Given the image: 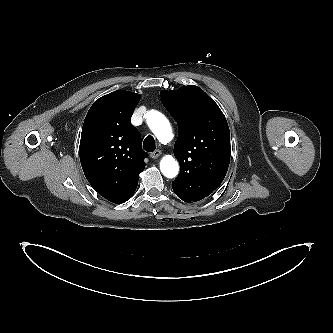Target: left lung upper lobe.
Returning <instances> with one entry per match:
<instances>
[{
  "label": "left lung upper lobe",
  "mask_w": 333,
  "mask_h": 333,
  "mask_svg": "<svg viewBox=\"0 0 333 333\" xmlns=\"http://www.w3.org/2000/svg\"><path fill=\"white\" fill-rule=\"evenodd\" d=\"M161 102L178 123L174 154L180 173L172 182L179 198L209 196L223 181L230 162V132L218 105L197 86L161 91Z\"/></svg>",
  "instance_id": "left-lung-upper-lobe-1"
}]
</instances>
